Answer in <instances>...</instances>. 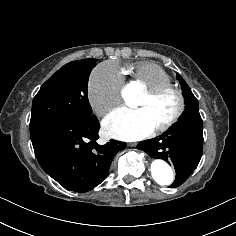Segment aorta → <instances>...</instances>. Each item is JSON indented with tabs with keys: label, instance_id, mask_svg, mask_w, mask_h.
Returning <instances> with one entry per match:
<instances>
[{
	"label": "aorta",
	"instance_id": "aorta-1",
	"mask_svg": "<svg viewBox=\"0 0 236 236\" xmlns=\"http://www.w3.org/2000/svg\"><path fill=\"white\" fill-rule=\"evenodd\" d=\"M126 100L129 104H134L135 95L131 92L126 94ZM151 174L156 183L161 186L170 185L174 181L172 168L162 159H155L151 163Z\"/></svg>",
	"mask_w": 236,
	"mask_h": 236
}]
</instances>
